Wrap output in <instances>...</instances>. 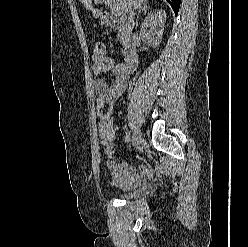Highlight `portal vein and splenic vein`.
Masks as SVG:
<instances>
[{
  "label": "portal vein and splenic vein",
  "instance_id": "1",
  "mask_svg": "<svg viewBox=\"0 0 248 247\" xmlns=\"http://www.w3.org/2000/svg\"><path fill=\"white\" fill-rule=\"evenodd\" d=\"M102 0H96V2H101ZM106 4H109V2L107 1ZM112 11L113 12H118V10L116 8L112 7Z\"/></svg>",
  "mask_w": 248,
  "mask_h": 247
}]
</instances>
